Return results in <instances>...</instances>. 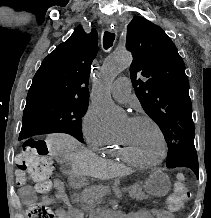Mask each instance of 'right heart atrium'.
Here are the masks:
<instances>
[{"label":"right heart atrium","instance_id":"d8ad5b80","mask_svg":"<svg viewBox=\"0 0 211 218\" xmlns=\"http://www.w3.org/2000/svg\"><path fill=\"white\" fill-rule=\"evenodd\" d=\"M81 132L89 146L95 150L113 135L106 129L99 114L92 107L87 108L82 116Z\"/></svg>","mask_w":211,"mask_h":218}]
</instances>
